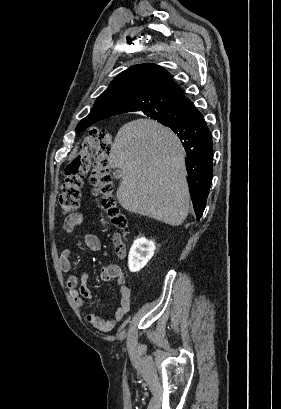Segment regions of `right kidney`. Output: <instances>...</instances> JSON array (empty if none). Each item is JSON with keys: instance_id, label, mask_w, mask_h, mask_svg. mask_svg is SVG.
<instances>
[{"instance_id": "obj_1", "label": "right kidney", "mask_w": 281, "mask_h": 409, "mask_svg": "<svg viewBox=\"0 0 281 409\" xmlns=\"http://www.w3.org/2000/svg\"><path fill=\"white\" fill-rule=\"evenodd\" d=\"M155 243L140 237L134 241L128 257V267L132 273H137L140 269H143L154 255Z\"/></svg>"}]
</instances>
